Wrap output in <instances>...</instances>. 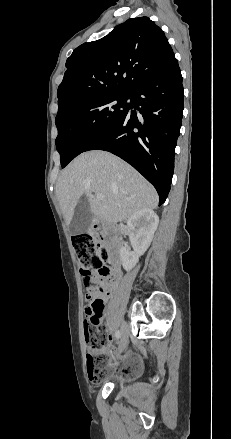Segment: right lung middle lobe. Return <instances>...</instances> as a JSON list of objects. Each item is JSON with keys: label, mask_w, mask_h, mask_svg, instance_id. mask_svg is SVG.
Here are the masks:
<instances>
[{"label": "right lung middle lobe", "mask_w": 231, "mask_h": 439, "mask_svg": "<svg viewBox=\"0 0 231 439\" xmlns=\"http://www.w3.org/2000/svg\"><path fill=\"white\" fill-rule=\"evenodd\" d=\"M130 97V94H120L87 99L56 116V146L62 167L129 110Z\"/></svg>", "instance_id": "1"}]
</instances>
